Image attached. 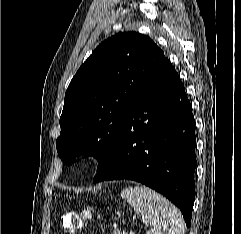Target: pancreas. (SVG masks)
<instances>
[{
  "instance_id": "1",
  "label": "pancreas",
  "mask_w": 241,
  "mask_h": 234,
  "mask_svg": "<svg viewBox=\"0 0 241 234\" xmlns=\"http://www.w3.org/2000/svg\"><path fill=\"white\" fill-rule=\"evenodd\" d=\"M113 234H122V233H120L119 230H116V231L113 232Z\"/></svg>"
}]
</instances>
